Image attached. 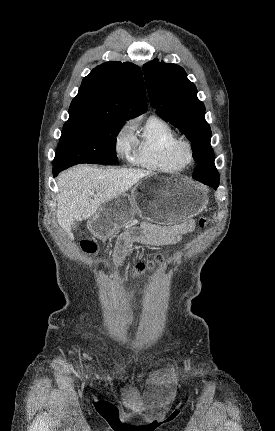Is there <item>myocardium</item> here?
<instances>
[{"label": "myocardium", "instance_id": "1", "mask_svg": "<svg viewBox=\"0 0 275 431\" xmlns=\"http://www.w3.org/2000/svg\"><path fill=\"white\" fill-rule=\"evenodd\" d=\"M178 155L180 159L185 163L188 164L193 159V147L189 140L181 139L178 147H177Z\"/></svg>", "mask_w": 275, "mask_h": 431}]
</instances>
